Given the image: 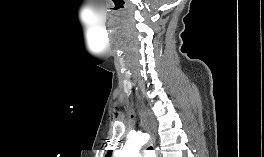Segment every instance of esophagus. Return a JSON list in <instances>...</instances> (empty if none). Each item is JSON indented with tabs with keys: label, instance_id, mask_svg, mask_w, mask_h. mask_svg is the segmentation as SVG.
I'll list each match as a JSON object with an SVG mask.
<instances>
[{
	"label": "esophagus",
	"instance_id": "34e87169",
	"mask_svg": "<svg viewBox=\"0 0 264 157\" xmlns=\"http://www.w3.org/2000/svg\"><path fill=\"white\" fill-rule=\"evenodd\" d=\"M147 115L149 116V113H148V112H147ZM149 119H150V118H149ZM150 122H151V126H152V121H151V119H150ZM153 136H154V132H153ZM154 141H155V136H154ZM156 154H157V157H161V155H160L158 149H156Z\"/></svg>",
	"mask_w": 264,
	"mask_h": 157
}]
</instances>
